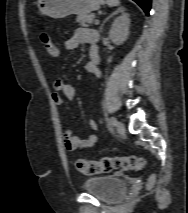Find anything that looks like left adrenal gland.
I'll return each mask as SVG.
<instances>
[{"instance_id":"a2214340","label":"left adrenal gland","mask_w":188,"mask_h":213,"mask_svg":"<svg viewBox=\"0 0 188 213\" xmlns=\"http://www.w3.org/2000/svg\"><path fill=\"white\" fill-rule=\"evenodd\" d=\"M120 12H124V8H122V7L118 8V9H117L115 12H113L109 17H107V18L103 21V23H102V25H101V27H100V29H99L100 32H102V29H103V26H104L105 22H106L109 18H111L112 16H114V15L120 13Z\"/></svg>"}]
</instances>
